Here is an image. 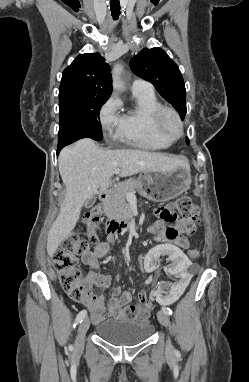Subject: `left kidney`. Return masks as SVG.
I'll use <instances>...</instances> for the list:
<instances>
[{
	"mask_svg": "<svg viewBox=\"0 0 249 382\" xmlns=\"http://www.w3.org/2000/svg\"><path fill=\"white\" fill-rule=\"evenodd\" d=\"M166 244L152 249L145 255V260H139L138 264L144 267L146 273L173 277L172 280H160L153 295L155 302H161L162 307H175V302L179 301L181 293H186L196 273L195 270H189L192 263L185 255V250H180L179 245H172L170 240Z\"/></svg>",
	"mask_w": 249,
	"mask_h": 382,
	"instance_id": "1",
	"label": "left kidney"
}]
</instances>
